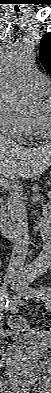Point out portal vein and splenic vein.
<instances>
[{
    "instance_id": "18ae733b",
    "label": "portal vein and splenic vein",
    "mask_w": 51,
    "mask_h": 393,
    "mask_svg": "<svg viewBox=\"0 0 51 393\" xmlns=\"http://www.w3.org/2000/svg\"><path fill=\"white\" fill-rule=\"evenodd\" d=\"M1 186L5 187V188H8V189H14V190H17V191H21L22 190V188L19 185L6 183V181H4V179L1 180Z\"/></svg>"
}]
</instances>
